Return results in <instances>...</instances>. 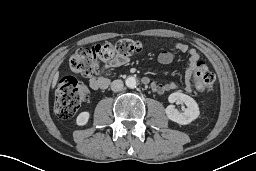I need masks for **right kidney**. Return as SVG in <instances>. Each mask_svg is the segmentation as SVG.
I'll use <instances>...</instances> for the list:
<instances>
[{
  "mask_svg": "<svg viewBox=\"0 0 256 171\" xmlns=\"http://www.w3.org/2000/svg\"><path fill=\"white\" fill-rule=\"evenodd\" d=\"M89 118L90 113L88 111L81 112L76 118V123L79 126H84L88 123Z\"/></svg>",
  "mask_w": 256,
  "mask_h": 171,
  "instance_id": "1",
  "label": "right kidney"
}]
</instances>
